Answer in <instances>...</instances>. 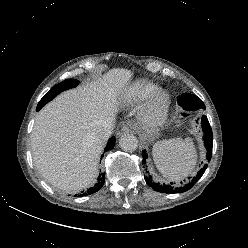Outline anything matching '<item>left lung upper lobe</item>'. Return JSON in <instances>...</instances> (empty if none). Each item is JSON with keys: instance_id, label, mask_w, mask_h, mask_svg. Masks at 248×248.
<instances>
[{"instance_id": "1", "label": "left lung upper lobe", "mask_w": 248, "mask_h": 248, "mask_svg": "<svg viewBox=\"0 0 248 248\" xmlns=\"http://www.w3.org/2000/svg\"><path fill=\"white\" fill-rule=\"evenodd\" d=\"M178 104L182 106L185 110H197L200 108L205 109L204 103L197 96L184 93L178 98Z\"/></svg>"}]
</instances>
